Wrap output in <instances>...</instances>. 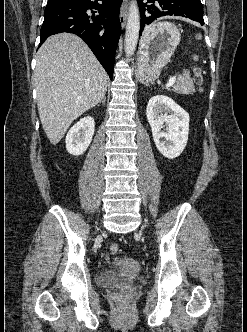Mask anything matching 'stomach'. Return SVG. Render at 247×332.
Returning a JSON list of instances; mask_svg holds the SVG:
<instances>
[{
    "label": "stomach",
    "instance_id": "0dacf381",
    "mask_svg": "<svg viewBox=\"0 0 247 332\" xmlns=\"http://www.w3.org/2000/svg\"><path fill=\"white\" fill-rule=\"evenodd\" d=\"M180 40V31L173 23L158 22L150 26L141 39L138 51V79L143 83L157 79L170 62Z\"/></svg>",
    "mask_w": 247,
    "mask_h": 332
}]
</instances>
